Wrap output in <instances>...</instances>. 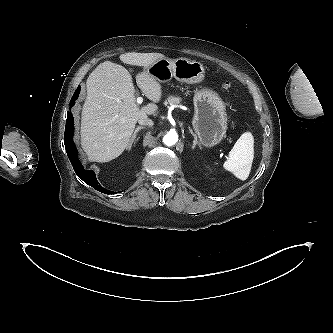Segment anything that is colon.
<instances>
[{
    "instance_id": "1",
    "label": "colon",
    "mask_w": 333,
    "mask_h": 333,
    "mask_svg": "<svg viewBox=\"0 0 333 333\" xmlns=\"http://www.w3.org/2000/svg\"><path fill=\"white\" fill-rule=\"evenodd\" d=\"M224 87H225V88H229V87H230V84L227 82V83L224 84Z\"/></svg>"
}]
</instances>
